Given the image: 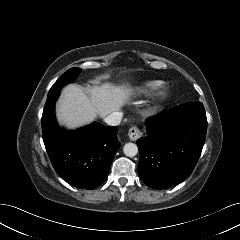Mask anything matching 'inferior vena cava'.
<instances>
[{
	"instance_id": "1",
	"label": "inferior vena cava",
	"mask_w": 240,
	"mask_h": 240,
	"mask_svg": "<svg viewBox=\"0 0 240 240\" xmlns=\"http://www.w3.org/2000/svg\"><path fill=\"white\" fill-rule=\"evenodd\" d=\"M122 119V113L121 112H113L110 115H108L104 121L111 126H117L120 124Z\"/></svg>"
}]
</instances>
